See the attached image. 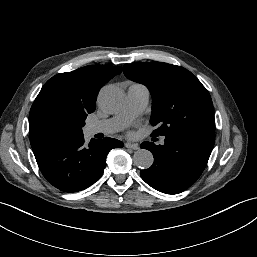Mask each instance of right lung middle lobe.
<instances>
[{"instance_id":"dd1d6c3e","label":"right lung middle lobe","mask_w":257,"mask_h":257,"mask_svg":"<svg viewBox=\"0 0 257 257\" xmlns=\"http://www.w3.org/2000/svg\"><path fill=\"white\" fill-rule=\"evenodd\" d=\"M86 110L73 100L54 96L49 98L38 110V125L54 135H81L85 125Z\"/></svg>"}]
</instances>
